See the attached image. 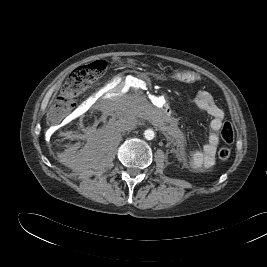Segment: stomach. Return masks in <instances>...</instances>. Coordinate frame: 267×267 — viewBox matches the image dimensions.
<instances>
[{
  "label": "stomach",
  "mask_w": 267,
  "mask_h": 267,
  "mask_svg": "<svg viewBox=\"0 0 267 267\" xmlns=\"http://www.w3.org/2000/svg\"><path fill=\"white\" fill-rule=\"evenodd\" d=\"M172 76L176 80L187 83H193L199 79L198 75L188 70H175Z\"/></svg>",
  "instance_id": "stomach-1"
}]
</instances>
